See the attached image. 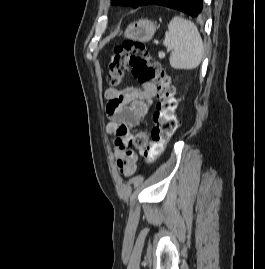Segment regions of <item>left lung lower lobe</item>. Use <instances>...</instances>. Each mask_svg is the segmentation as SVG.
Instances as JSON below:
<instances>
[{"mask_svg":"<svg viewBox=\"0 0 265 269\" xmlns=\"http://www.w3.org/2000/svg\"><path fill=\"white\" fill-rule=\"evenodd\" d=\"M143 5H162L179 10L193 18L201 16L204 12L203 0H144Z\"/></svg>","mask_w":265,"mask_h":269,"instance_id":"obj_1","label":"left lung lower lobe"}]
</instances>
